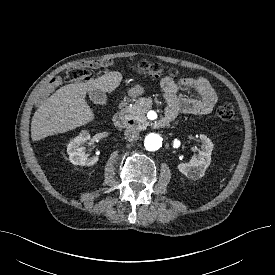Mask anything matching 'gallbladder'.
Instances as JSON below:
<instances>
[{
	"label": "gallbladder",
	"mask_w": 275,
	"mask_h": 275,
	"mask_svg": "<svg viewBox=\"0 0 275 275\" xmlns=\"http://www.w3.org/2000/svg\"><path fill=\"white\" fill-rule=\"evenodd\" d=\"M89 98L95 104L105 105L107 103V95L102 90L90 91Z\"/></svg>",
	"instance_id": "bac80fb5"
}]
</instances>
